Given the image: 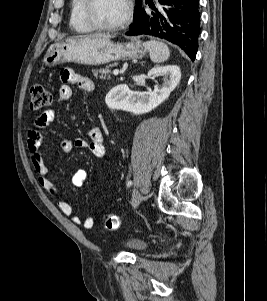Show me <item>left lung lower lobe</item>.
<instances>
[{
	"instance_id": "1",
	"label": "left lung lower lobe",
	"mask_w": 267,
	"mask_h": 301,
	"mask_svg": "<svg viewBox=\"0 0 267 301\" xmlns=\"http://www.w3.org/2000/svg\"><path fill=\"white\" fill-rule=\"evenodd\" d=\"M161 6L147 14L141 8L134 14V22L126 35H151L164 38L179 47L192 59L198 50L200 33L199 0H158Z\"/></svg>"
}]
</instances>
